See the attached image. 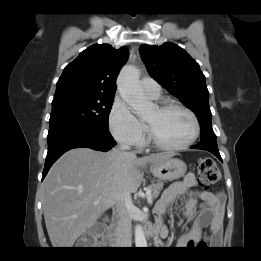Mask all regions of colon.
I'll list each match as a JSON object with an SVG mask.
<instances>
[{"label": "colon", "mask_w": 261, "mask_h": 261, "mask_svg": "<svg viewBox=\"0 0 261 261\" xmlns=\"http://www.w3.org/2000/svg\"><path fill=\"white\" fill-rule=\"evenodd\" d=\"M198 176L199 182L204 188H208L219 182L220 172L216 166L215 161L212 158L202 157L199 159ZM102 231L103 230L101 228L96 229L95 232L89 235L85 241L80 243V245L85 249L94 247L97 244L98 240L101 238ZM192 245H194V243H192Z\"/></svg>", "instance_id": "obj_1"}]
</instances>
